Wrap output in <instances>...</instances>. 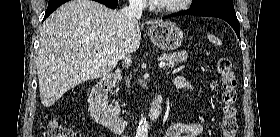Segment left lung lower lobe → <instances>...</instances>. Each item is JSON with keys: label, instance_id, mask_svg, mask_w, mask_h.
<instances>
[{"label": "left lung lower lobe", "instance_id": "1", "mask_svg": "<svg viewBox=\"0 0 280 137\" xmlns=\"http://www.w3.org/2000/svg\"><path fill=\"white\" fill-rule=\"evenodd\" d=\"M180 15L208 16V17H217L223 19L231 25V27L236 32L238 38L240 39L239 21L236 17L235 12L222 10V9H201V10L191 9L184 12L165 16L164 18L180 16Z\"/></svg>", "mask_w": 280, "mask_h": 137}]
</instances>
